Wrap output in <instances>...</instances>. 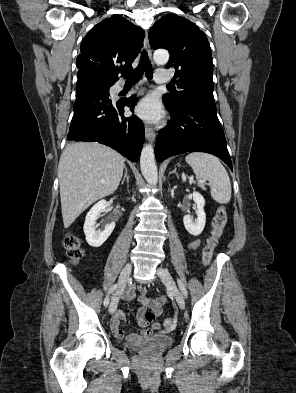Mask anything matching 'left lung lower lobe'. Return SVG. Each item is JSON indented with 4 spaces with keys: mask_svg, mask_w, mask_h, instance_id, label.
<instances>
[{
    "mask_svg": "<svg viewBox=\"0 0 296 393\" xmlns=\"http://www.w3.org/2000/svg\"><path fill=\"white\" fill-rule=\"evenodd\" d=\"M168 111L171 120L160 131L155 146L157 161L185 152H206L219 157L233 170L215 101L195 99L179 110Z\"/></svg>",
    "mask_w": 296,
    "mask_h": 393,
    "instance_id": "left-lung-lower-lobe-1",
    "label": "left lung lower lobe"
}]
</instances>
